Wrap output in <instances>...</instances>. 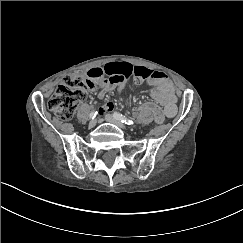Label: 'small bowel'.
Segmentation results:
<instances>
[{"instance_id": "c3829d8e", "label": "small bowel", "mask_w": 243, "mask_h": 243, "mask_svg": "<svg viewBox=\"0 0 243 243\" xmlns=\"http://www.w3.org/2000/svg\"><path fill=\"white\" fill-rule=\"evenodd\" d=\"M88 77L97 80L100 86L98 97L103 98L107 92L115 86L120 85L129 76H134L138 80H147L149 83L157 86L152 91V96L163 107L167 117H173L177 113L176 95L174 86L168 77L159 71H154L142 66H133L127 62H113L104 67L92 68L87 72ZM105 109H113V104L109 103Z\"/></svg>"}]
</instances>
